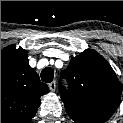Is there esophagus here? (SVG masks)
Masks as SVG:
<instances>
[{"label": "esophagus", "instance_id": "obj_1", "mask_svg": "<svg viewBox=\"0 0 123 123\" xmlns=\"http://www.w3.org/2000/svg\"><path fill=\"white\" fill-rule=\"evenodd\" d=\"M49 89L51 91H55V89H56V82L55 81L49 83Z\"/></svg>", "mask_w": 123, "mask_h": 123}]
</instances>
